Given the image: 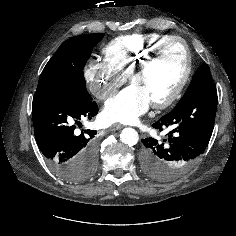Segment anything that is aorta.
Returning a JSON list of instances; mask_svg holds the SVG:
<instances>
[{"label":"aorta","mask_w":236,"mask_h":236,"mask_svg":"<svg viewBox=\"0 0 236 236\" xmlns=\"http://www.w3.org/2000/svg\"><path fill=\"white\" fill-rule=\"evenodd\" d=\"M120 140L128 146H134L139 140L138 132L133 128H125L120 133Z\"/></svg>","instance_id":"aorta-1"}]
</instances>
